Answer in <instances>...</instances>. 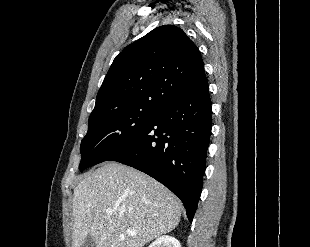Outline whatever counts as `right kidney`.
<instances>
[{
	"label": "right kidney",
	"instance_id": "right-kidney-1",
	"mask_svg": "<svg viewBox=\"0 0 310 247\" xmlns=\"http://www.w3.org/2000/svg\"><path fill=\"white\" fill-rule=\"evenodd\" d=\"M149 247H181L180 242L168 235L161 236L152 242Z\"/></svg>",
	"mask_w": 310,
	"mask_h": 247
}]
</instances>
